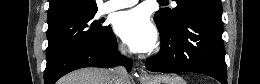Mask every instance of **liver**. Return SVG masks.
Listing matches in <instances>:
<instances>
[{
  "mask_svg": "<svg viewBox=\"0 0 260 84\" xmlns=\"http://www.w3.org/2000/svg\"><path fill=\"white\" fill-rule=\"evenodd\" d=\"M113 75L111 69L82 68L64 76L58 84H114Z\"/></svg>",
  "mask_w": 260,
  "mask_h": 84,
  "instance_id": "liver-1",
  "label": "liver"
}]
</instances>
